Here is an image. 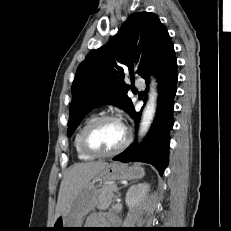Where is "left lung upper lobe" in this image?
I'll return each instance as SVG.
<instances>
[{
    "mask_svg": "<svg viewBox=\"0 0 231 231\" xmlns=\"http://www.w3.org/2000/svg\"><path fill=\"white\" fill-rule=\"evenodd\" d=\"M168 35L155 14L136 12L111 41L87 54L72 84L68 136L98 104H112L132 115L124 77L130 75L132 82L134 73L143 77Z\"/></svg>",
    "mask_w": 231,
    "mask_h": 231,
    "instance_id": "1",
    "label": "left lung upper lobe"
}]
</instances>
